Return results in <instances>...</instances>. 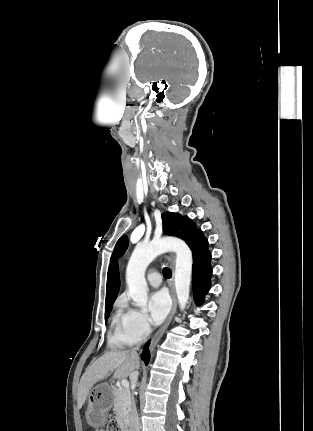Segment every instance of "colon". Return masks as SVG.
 I'll return each instance as SVG.
<instances>
[{
	"mask_svg": "<svg viewBox=\"0 0 313 431\" xmlns=\"http://www.w3.org/2000/svg\"><path fill=\"white\" fill-rule=\"evenodd\" d=\"M104 431H119V428L115 421H111L108 423Z\"/></svg>",
	"mask_w": 313,
	"mask_h": 431,
	"instance_id": "5ec220e1",
	"label": "colon"
}]
</instances>
